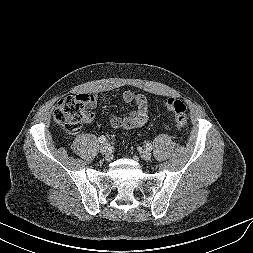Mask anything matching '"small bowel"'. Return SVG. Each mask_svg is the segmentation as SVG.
Segmentation results:
<instances>
[{"label":"small bowel","mask_w":253,"mask_h":253,"mask_svg":"<svg viewBox=\"0 0 253 253\" xmlns=\"http://www.w3.org/2000/svg\"><path fill=\"white\" fill-rule=\"evenodd\" d=\"M83 95L88 99L91 108L105 102V99L100 98L98 95ZM121 97L125 103L133 104L135 109L123 118L117 115H111L109 118L110 126L114 129L126 130L143 126L148 119V100L146 96L137 91L127 90L122 93Z\"/></svg>","instance_id":"small-bowel-1"}]
</instances>
